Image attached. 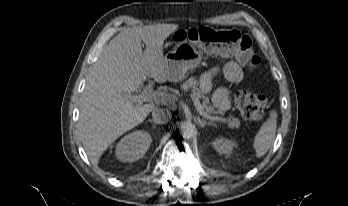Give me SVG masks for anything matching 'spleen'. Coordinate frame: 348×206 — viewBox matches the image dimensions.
Here are the masks:
<instances>
[{"label":"spleen","mask_w":348,"mask_h":206,"mask_svg":"<svg viewBox=\"0 0 348 206\" xmlns=\"http://www.w3.org/2000/svg\"><path fill=\"white\" fill-rule=\"evenodd\" d=\"M277 128V112L272 110L270 117L261 125L258 133L254 138L253 147L256 157H261L270 149Z\"/></svg>","instance_id":"spleen-1"}]
</instances>
